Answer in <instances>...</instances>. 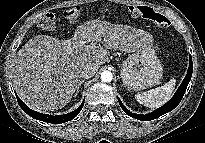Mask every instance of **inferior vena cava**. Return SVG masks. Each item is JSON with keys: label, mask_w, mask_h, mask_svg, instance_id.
I'll use <instances>...</instances> for the list:
<instances>
[{"label": "inferior vena cava", "mask_w": 205, "mask_h": 143, "mask_svg": "<svg viewBox=\"0 0 205 143\" xmlns=\"http://www.w3.org/2000/svg\"><path fill=\"white\" fill-rule=\"evenodd\" d=\"M98 68L99 67L96 64H88L85 67H83L80 73V77L85 79L92 78L95 75V73L98 71Z\"/></svg>", "instance_id": "602c4592"}]
</instances>
